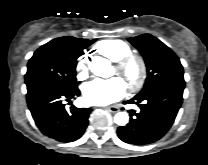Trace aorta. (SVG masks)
Masks as SVG:
<instances>
[{"mask_svg":"<svg viewBox=\"0 0 208 165\" xmlns=\"http://www.w3.org/2000/svg\"><path fill=\"white\" fill-rule=\"evenodd\" d=\"M110 67L109 61L102 57H94L92 63L89 65L91 72L100 77H107V71ZM114 122L119 126H125L129 122V115L127 112H118L114 116Z\"/></svg>","mask_w":208,"mask_h":165,"instance_id":"aorta-1","label":"aorta"}]
</instances>
